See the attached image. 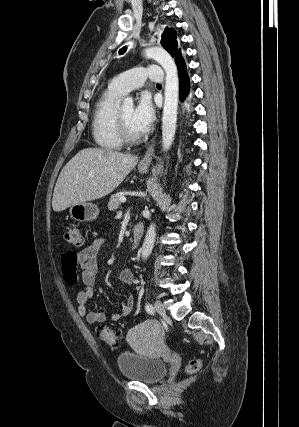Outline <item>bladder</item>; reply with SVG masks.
I'll return each instance as SVG.
<instances>
[{
  "mask_svg": "<svg viewBox=\"0 0 299 427\" xmlns=\"http://www.w3.org/2000/svg\"><path fill=\"white\" fill-rule=\"evenodd\" d=\"M123 377L142 383H156L167 373V364L155 357L124 351L117 357Z\"/></svg>",
  "mask_w": 299,
  "mask_h": 427,
  "instance_id": "obj_1",
  "label": "bladder"
}]
</instances>
